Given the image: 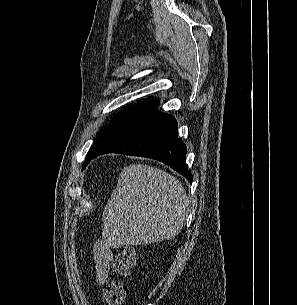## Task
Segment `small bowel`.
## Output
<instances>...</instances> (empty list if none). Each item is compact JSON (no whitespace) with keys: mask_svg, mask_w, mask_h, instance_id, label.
<instances>
[{"mask_svg":"<svg viewBox=\"0 0 297 305\" xmlns=\"http://www.w3.org/2000/svg\"><path fill=\"white\" fill-rule=\"evenodd\" d=\"M93 270L98 284H103L109 276L113 258V247L108 240L96 242L93 248Z\"/></svg>","mask_w":297,"mask_h":305,"instance_id":"c3829d8e","label":"small bowel"}]
</instances>
